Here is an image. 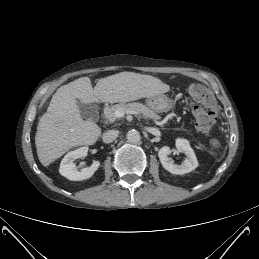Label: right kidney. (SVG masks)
I'll return each instance as SVG.
<instances>
[{
	"mask_svg": "<svg viewBox=\"0 0 259 259\" xmlns=\"http://www.w3.org/2000/svg\"><path fill=\"white\" fill-rule=\"evenodd\" d=\"M87 152L88 147L84 146L67 153L61 161L59 169L60 174L73 181H81L92 177L100 166L99 161H94L90 167L83 168L80 171L76 170V165L74 164L76 159L85 157Z\"/></svg>",
	"mask_w": 259,
	"mask_h": 259,
	"instance_id": "1",
	"label": "right kidney"
}]
</instances>
